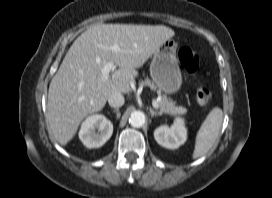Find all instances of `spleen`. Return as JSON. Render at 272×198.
I'll return each instance as SVG.
<instances>
[{"mask_svg":"<svg viewBox=\"0 0 272 198\" xmlns=\"http://www.w3.org/2000/svg\"><path fill=\"white\" fill-rule=\"evenodd\" d=\"M222 122V109L218 107L213 108L197 132L195 148L192 155L193 159L205 155L212 148L219 135Z\"/></svg>","mask_w":272,"mask_h":198,"instance_id":"obj_1","label":"spleen"}]
</instances>
